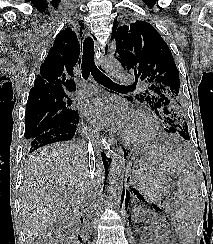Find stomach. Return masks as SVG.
<instances>
[{
  "label": "stomach",
  "mask_w": 213,
  "mask_h": 244,
  "mask_svg": "<svg viewBox=\"0 0 213 244\" xmlns=\"http://www.w3.org/2000/svg\"><path fill=\"white\" fill-rule=\"evenodd\" d=\"M130 166L131 182L147 201L158 202L168 195L173 183L160 166L157 149H136Z\"/></svg>",
  "instance_id": "obj_1"
}]
</instances>
